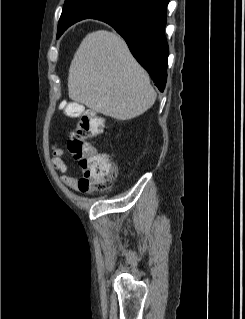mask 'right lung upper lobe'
<instances>
[{
  "instance_id": "right-lung-upper-lobe-1",
  "label": "right lung upper lobe",
  "mask_w": 245,
  "mask_h": 319,
  "mask_svg": "<svg viewBox=\"0 0 245 319\" xmlns=\"http://www.w3.org/2000/svg\"><path fill=\"white\" fill-rule=\"evenodd\" d=\"M81 1L85 0H65V5L59 20V30L65 27L68 28L70 25L82 19L94 17V15H92L80 6Z\"/></svg>"
}]
</instances>
